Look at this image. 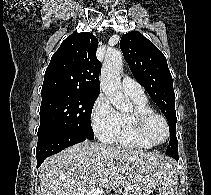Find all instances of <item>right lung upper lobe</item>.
<instances>
[{
    "instance_id": "right-lung-upper-lobe-1",
    "label": "right lung upper lobe",
    "mask_w": 211,
    "mask_h": 195,
    "mask_svg": "<svg viewBox=\"0 0 211 195\" xmlns=\"http://www.w3.org/2000/svg\"><path fill=\"white\" fill-rule=\"evenodd\" d=\"M98 40L89 32H74L53 54L41 93L70 91L99 95L101 63L96 58Z\"/></svg>"
}]
</instances>
